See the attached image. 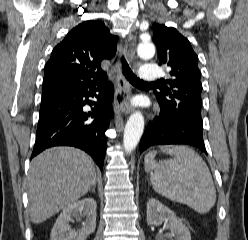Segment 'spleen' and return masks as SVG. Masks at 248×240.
I'll return each mask as SVG.
<instances>
[{"label": "spleen", "instance_id": "obj_1", "mask_svg": "<svg viewBox=\"0 0 248 240\" xmlns=\"http://www.w3.org/2000/svg\"><path fill=\"white\" fill-rule=\"evenodd\" d=\"M170 160L156 162V150L144 159L153 189L160 195L205 214L216 202V190L209 168L190 147L172 146L161 149Z\"/></svg>", "mask_w": 248, "mask_h": 240}]
</instances>
